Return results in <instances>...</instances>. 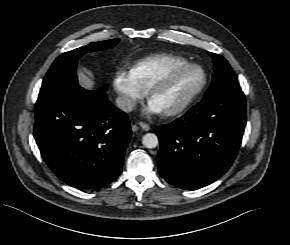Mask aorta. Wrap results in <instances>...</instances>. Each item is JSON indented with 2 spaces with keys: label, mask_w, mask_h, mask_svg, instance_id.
<instances>
[{
  "label": "aorta",
  "mask_w": 290,
  "mask_h": 245,
  "mask_svg": "<svg viewBox=\"0 0 290 245\" xmlns=\"http://www.w3.org/2000/svg\"><path fill=\"white\" fill-rule=\"evenodd\" d=\"M142 143L146 148L152 149L158 146L159 140L156 134L147 133L142 137Z\"/></svg>",
  "instance_id": "762f6f07"
}]
</instances>
